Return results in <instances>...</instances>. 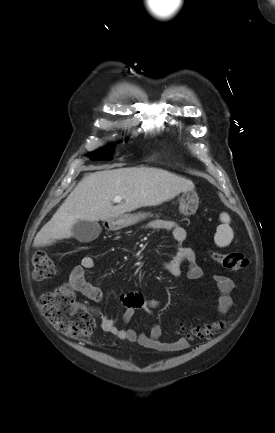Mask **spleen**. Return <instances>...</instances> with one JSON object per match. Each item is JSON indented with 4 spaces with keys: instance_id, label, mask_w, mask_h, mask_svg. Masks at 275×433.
<instances>
[{
    "instance_id": "spleen-1",
    "label": "spleen",
    "mask_w": 275,
    "mask_h": 433,
    "mask_svg": "<svg viewBox=\"0 0 275 433\" xmlns=\"http://www.w3.org/2000/svg\"><path fill=\"white\" fill-rule=\"evenodd\" d=\"M221 225L217 227L216 234L214 236L215 244L219 247L228 246L233 239V231L229 226L230 216L223 212L220 214Z\"/></svg>"
}]
</instances>
